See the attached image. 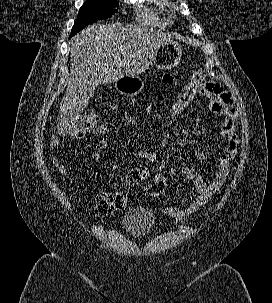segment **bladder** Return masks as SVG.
Returning <instances> with one entry per match:
<instances>
[{
	"mask_svg": "<svg viewBox=\"0 0 272 303\" xmlns=\"http://www.w3.org/2000/svg\"><path fill=\"white\" fill-rule=\"evenodd\" d=\"M156 224L154 213L145 207L131 208L124 220L125 230L134 237H139L149 233Z\"/></svg>",
	"mask_w": 272,
	"mask_h": 303,
	"instance_id": "bladder-1",
	"label": "bladder"
}]
</instances>
